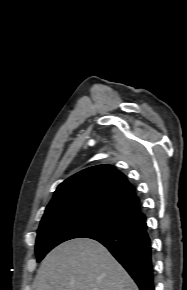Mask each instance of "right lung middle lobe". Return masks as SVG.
<instances>
[{
    "label": "right lung middle lobe",
    "mask_w": 187,
    "mask_h": 290,
    "mask_svg": "<svg viewBox=\"0 0 187 290\" xmlns=\"http://www.w3.org/2000/svg\"><path fill=\"white\" fill-rule=\"evenodd\" d=\"M131 224L116 212L97 206H81L43 216L36 239L37 262L58 244L119 229Z\"/></svg>",
    "instance_id": "dd1d6c3e"
}]
</instances>
